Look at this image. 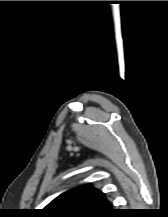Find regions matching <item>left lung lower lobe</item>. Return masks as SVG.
<instances>
[{"label": "left lung lower lobe", "mask_w": 168, "mask_h": 217, "mask_svg": "<svg viewBox=\"0 0 168 217\" xmlns=\"http://www.w3.org/2000/svg\"><path fill=\"white\" fill-rule=\"evenodd\" d=\"M117 214L116 211H111L109 210L108 212L104 213L103 215H106L108 217H111V216H115Z\"/></svg>", "instance_id": "obj_1"}]
</instances>
